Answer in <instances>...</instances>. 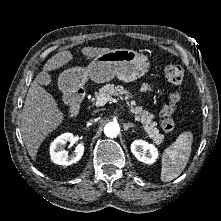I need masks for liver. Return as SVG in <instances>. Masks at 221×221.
Wrapping results in <instances>:
<instances>
[{"mask_svg":"<svg viewBox=\"0 0 221 221\" xmlns=\"http://www.w3.org/2000/svg\"><path fill=\"white\" fill-rule=\"evenodd\" d=\"M110 50V48L84 47L81 52L90 59ZM72 60L73 55L70 51L58 52L45 63L42 73L57 70ZM38 78L39 74L29 87L20 125L23 141L32 160L36 159L43 140L64 120V114L58 108L56 100L39 85Z\"/></svg>","mask_w":221,"mask_h":221,"instance_id":"liver-1","label":"liver"}]
</instances>
